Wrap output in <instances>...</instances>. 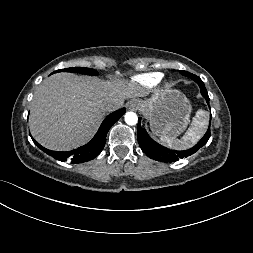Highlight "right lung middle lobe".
Here are the masks:
<instances>
[{
	"label": "right lung middle lobe",
	"mask_w": 253,
	"mask_h": 253,
	"mask_svg": "<svg viewBox=\"0 0 253 253\" xmlns=\"http://www.w3.org/2000/svg\"><path fill=\"white\" fill-rule=\"evenodd\" d=\"M56 72H78V73L88 74V75H98V72L96 70H93V69H90V68H81V67L60 69Z\"/></svg>",
	"instance_id": "right-lung-middle-lobe-1"
}]
</instances>
